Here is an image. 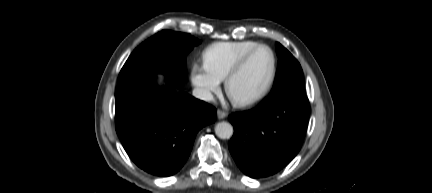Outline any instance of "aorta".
I'll return each mask as SVG.
<instances>
[{
  "mask_svg": "<svg viewBox=\"0 0 432 193\" xmlns=\"http://www.w3.org/2000/svg\"><path fill=\"white\" fill-rule=\"evenodd\" d=\"M233 126L228 122H219L215 126V134L221 139H228L233 135Z\"/></svg>",
  "mask_w": 432,
  "mask_h": 193,
  "instance_id": "aorta-1",
  "label": "aorta"
}]
</instances>
